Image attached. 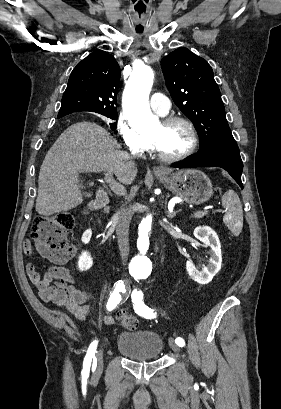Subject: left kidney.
Instances as JSON below:
<instances>
[{"mask_svg":"<svg viewBox=\"0 0 281 409\" xmlns=\"http://www.w3.org/2000/svg\"><path fill=\"white\" fill-rule=\"evenodd\" d=\"M194 237L204 243V247H210L209 265L204 267L202 271H198L192 261H187L186 269L189 277L199 283V285H207L219 273L222 265L221 245L217 233L211 227H196L193 233Z\"/></svg>","mask_w":281,"mask_h":409,"instance_id":"5707ae66","label":"left kidney"}]
</instances>
